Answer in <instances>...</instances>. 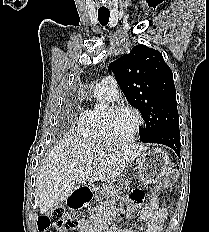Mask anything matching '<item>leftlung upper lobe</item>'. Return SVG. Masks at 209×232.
<instances>
[{
	"label": "left lung upper lobe",
	"instance_id": "left-lung-upper-lobe-1",
	"mask_svg": "<svg viewBox=\"0 0 209 232\" xmlns=\"http://www.w3.org/2000/svg\"><path fill=\"white\" fill-rule=\"evenodd\" d=\"M109 69L127 101L145 119L146 127L139 131L142 142H150L160 130L179 124L173 74L159 51L136 45L109 64Z\"/></svg>",
	"mask_w": 209,
	"mask_h": 232
}]
</instances>
